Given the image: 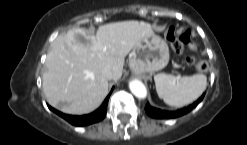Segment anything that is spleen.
<instances>
[{
	"mask_svg": "<svg viewBox=\"0 0 247 145\" xmlns=\"http://www.w3.org/2000/svg\"><path fill=\"white\" fill-rule=\"evenodd\" d=\"M158 96L170 106L182 107L198 99L207 87L204 74L176 77L168 74L154 76Z\"/></svg>",
	"mask_w": 247,
	"mask_h": 145,
	"instance_id": "1",
	"label": "spleen"
}]
</instances>
